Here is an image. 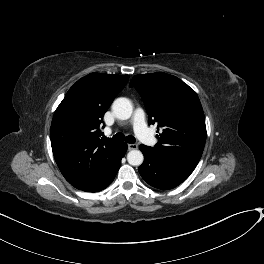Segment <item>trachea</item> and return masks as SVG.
<instances>
[{"label":"trachea","instance_id":"trachea-1","mask_svg":"<svg viewBox=\"0 0 264 264\" xmlns=\"http://www.w3.org/2000/svg\"><path fill=\"white\" fill-rule=\"evenodd\" d=\"M112 139L116 140V141H126L127 143H131V144L135 143V141H136V139L133 136H131V135L124 136L122 133H118V134L114 135L112 137Z\"/></svg>","mask_w":264,"mask_h":264}]
</instances>
